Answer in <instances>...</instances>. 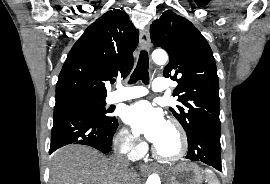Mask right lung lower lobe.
<instances>
[{"mask_svg": "<svg viewBox=\"0 0 270 184\" xmlns=\"http://www.w3.org/2000/svg\"><path fill=\"white\" fill-rule=\"evenodd\" d=\"M117 127V119L106 125L78 109L56 110L49 154L72 143L88 145L108 153L112 150V138Z\"/></svg>", "mask_w": 270, "mask_h": 184, "instance_id": "right-lung-lower-lobe-1", "label": "right lung lower lobe"}]
</instances>
